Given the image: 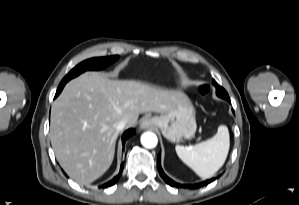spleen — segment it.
<instances>
[{
    "mask_svg": "<svg viewBox=\"0 0 299 205\" xmlns=\"http://www.w3.org/2000/svg\"><path fill=\"white\" fill-rule=\"evenodd\" d=\"M230 147L227 126L220 125L211 138L192 147L176 145L178 157L202 178L212 177L225 163Z\"/></svg>",
    "mask_w": 299,
    "mask_h": 205,
    "instance_id": "3e777b00",
    "label": "spleen"
}]
</instances>
